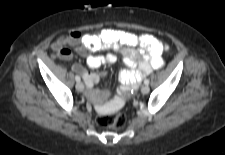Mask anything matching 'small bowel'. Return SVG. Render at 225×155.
Returning <instances> with one entry per match:
<instances>
[{
	"instance_id": "obj_1",
	"label": "small bowel",
	"mask_w": 225,
	"mask_h": 155,
	"mask_svg": "<svg viewBox=\"0 0 225 155\" xmlns=\"http://www.w3.org/2000/svg\"><path fill=\"white\" fill-rule=\"evenodd\" d=\"M66 43L74 46L79 54L86 55V64L90 69L99 68L105 63H114L117 60V53L122 56L123 63L127 68L119 74L121 87L118 95L104 102L100 93L91 94L100 113L105 111L118 113L124 109L126 106L125 97L137 88L142 78L152 69H159L164 65L162 54L169 50L167 44L151 34L138 36L109 28L92 34L72 32L68 35ZM53 48L55 50L54 45ZM106 48L112 49V52L105 56L88 54ZM58 56L62 59H69L70 51L66 55ZM73 69L82 74L88 88H93L100 80L99 74L85 70L79 64H75Z\"/></svg>"
}]
</instances>
